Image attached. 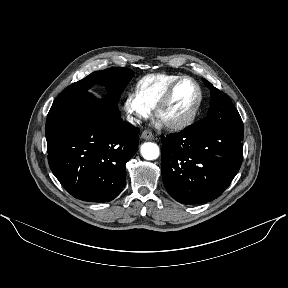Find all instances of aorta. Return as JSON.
Instances as JSON below:
<instances>
[{
	"label": "aorta",
	"mask_w": 288,
	"mask_h": 288,
	"mask_svg": "<svg viewBox=\"0 0 288 288\" xmlns=\"http://www.w3.org/2000/svg\"><path fill=\"white\" fill-rule=\"evenodd\" d=\"M159 154V147L155 143L147 142L141 146V155L146 160H155L159 157Z\"/></svg>",
	"instance_id": "obj_1"
}]
</instances>
